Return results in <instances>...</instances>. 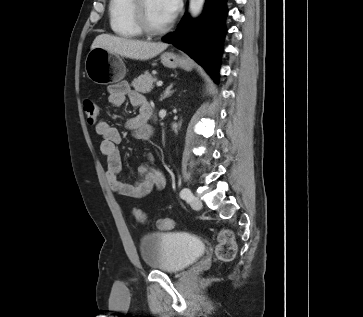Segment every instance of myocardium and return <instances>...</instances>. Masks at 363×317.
I'll return each mask as SVG.
<instances>
[{"instance_id":"myocardium-1","label":"myocardium","mask_w":363,"mask_h":317,"mask_svg":"<svg viewBox=\"0 0 363 317\" xmlns=\"http://www.w3.org/2000/svg\"><path fill=\"white\" fill-rule=\"evenodd\" d=\"M145 4L146 0H133L132 3V18L136 25V27L144 34L148 36H158L166 33L170 27L171 24L168 23L163 27L160 28H154L152 27L146 18L145 14Z\"/></svg>"}]
</instances>
